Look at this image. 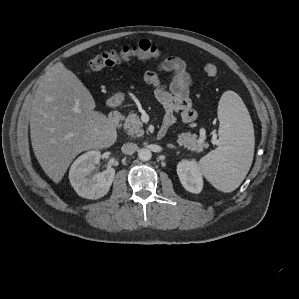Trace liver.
<instances>
[{"mask_svg":"<svg viewBox=\"0 0 299 299\" xmlns=\"http://www.w3.org/2000/svg\"><path fill=\"white\" fill-rule=\"evenodd\" d=\"M95 106L89 90L62 62L45 73L32 101L30 133L34 154L53 182L62 180L79 153L115 143L114 123Z\"/></svg>","mask_w":299,"mask_h":299,"instance_id":"liver-1","label":"liver"}]
</instances>
